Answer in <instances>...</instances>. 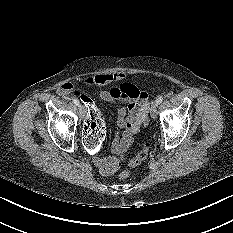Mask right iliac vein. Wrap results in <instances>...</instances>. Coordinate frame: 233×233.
<instances>
[{
  "label": "right iliac vein",
  "mask_w": 233,
  "mask_h": 233,
  "mask_svg": "<svg viewBox=\"0 0 233 233\" xmlns=\"http://www.w3.org/2000/svg\"><path fill=\"white\" fill-rule=\"evenodd\" d=\"M79 114H80L81 118L85 117L86 109H85V107L83 105H79Z\"/></svg>",
  "instance_id": "1"
}]
</instances>
